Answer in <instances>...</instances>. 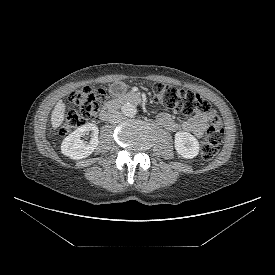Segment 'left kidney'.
I'll return each mask as SVG.
<instances>
[{
  "mask_svg": "<svg viewBox=\"0 0 275 275\" xmlns=\"http://www.w3.org/2000/svg\"><path fill=\"white\" fill-rule=\"evenodd\" d=\"M174 143L177 153L186 159L194 158L199 153L198 140L188 132H177Z\"/></svg>",
  "mask_w": 275,
  "mask_h": 275,
  "instance_id": "5707ae66",
  "label": "left kidney"
}]
</instances>
